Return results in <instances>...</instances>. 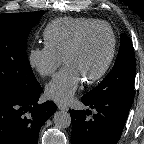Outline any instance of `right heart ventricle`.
I'll list each match as a JSON object with an SVG mask.
<instances>
[{"label": "right heart ventricle", "instance_id": "obj_1", "mask_svg": "<svg viewBox=\"0 0 144 144\" xmlns=\"http://www.w3.org/2000/svg\"><path fill=\"white\" fill-rule=\"evenodd\" d=\"M96 22H99V20L85 17H62L55 19L43 31L44 43L63 58L77 33L84 27Z\"/></svg>", "mask_w": 144, "mask_h": 144}]
</instances>
